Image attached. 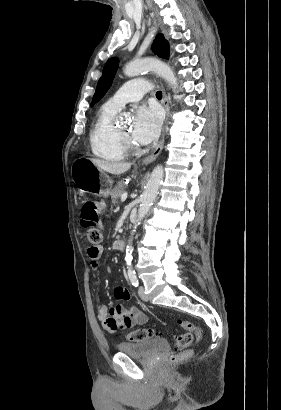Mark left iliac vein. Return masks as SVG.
I'll use <instances>...</instances> for the list:
<instances>
[{
    "mask_svg": "<svg viewBox=\"0 0 281 410\" xmlns=\"http://www.w3.org/2000/svg\"><path fill=\"white\" fill-rule=\"evenodd\" d=\"M138 294H139L140 298H141L143 301H148V300H149L148 296L145 294V290H144V287H143V286H140V287H139V289H138Z\"/></svg>",
    "mask_w": 281,
    "mask_h": 410,
    "instance_id": "left-iliac-vein-1",
    "label": "left iliac vein"
}]
</instances>
